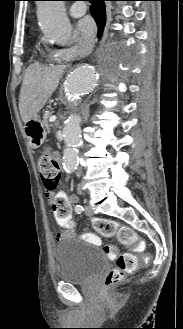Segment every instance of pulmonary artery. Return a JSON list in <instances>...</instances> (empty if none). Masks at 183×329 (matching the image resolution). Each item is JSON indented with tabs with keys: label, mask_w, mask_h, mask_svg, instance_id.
<instances>
[{
	"label": "pulmonary artery",
	"mask_w": 183,
	"mask_h": 329,
	"mask_svg": "<svg viewBox=\"0 0 183 329\" xmlns=\"http://www.w3.org/2000/svg\"><path fill=\"white\" fill-rule=\"evenodd\" d=\"M86 10L87 7L84 3L75 2L71 5L69 12L72 17H80L86 12Z\"/></svg>",
	"instance_id": "pulmonary-artery-1"
}]
</instances>
